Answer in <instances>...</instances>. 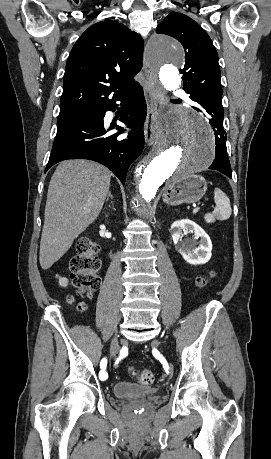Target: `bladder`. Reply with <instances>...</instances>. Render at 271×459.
Listing matches in <instances>:
<instances>
[{"label": "bladder", "mask_w": 271, "mask_h": 459, "mask_svg": "<svg viewBox=\"0 0 271 459\" xmlns=\"http://www.w3.org/2000/svg\"><path fill=\"white\" fill-rule=\"evenodd\" d=\"M113 391L115 396L126 400L138 398L139 396L156 395L158 393V388L148 384L120 381L117 382Z\"/></svg>", "instance_id": "obj_1"}]
</instances>
